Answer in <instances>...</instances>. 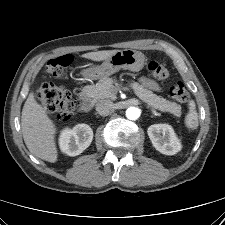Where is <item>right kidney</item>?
Instances as JSON below:
<instances>
[{"instance_id":"obj_1","label":"right kidney","mask_w":225,"mask_h":225,"mask_svg":"<svg viewBox=\"0 0 225 225\" xmlns=\"http://www.w3.org/2000/svg\"><path fill=\"white\" fill-rule=\"evenodd\" d=\"M93 139V131L87 124H78L74 128L62 130L59 146L63 153L77 156L88 148Z\"/></svg>"}]
</instances>
